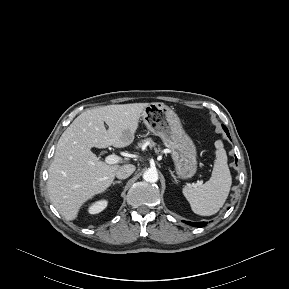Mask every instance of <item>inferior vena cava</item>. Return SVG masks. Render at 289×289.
<instances>
[{
  "mask_svg": "<svg viewBox=\"0 0 289 289\" xmlns=\"http://www.w3.org/2000/svg\"><path fill=\"white\" fill-rule=\"evenodd\" d=\"M135 171V166L132 164H127L119 167L116 171V177L118 179H126Z\"/></svg>",
  "mask_w": 289,
  "mask_h": 289,
  "instance_id": "602c4592",
  "label": "inferior vena cava"
}]
</instances>
